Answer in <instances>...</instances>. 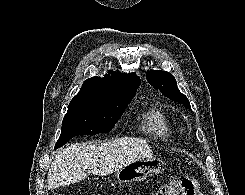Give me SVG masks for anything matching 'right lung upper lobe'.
Listing matches in <instances>:
<instances>
[{
    "label": "right lung upper lobe",
    "instance_id": "right-lung-upper-lobe-1",
    "mask_svg": "<svg viewBox=\"0 0 245 195\" xmlns=\"http://www.w3.org/2000/svg\"><path fill=\"white\" fill-rule=\"evenodd\" d=\"M112 74V75H109ZM103 78L92 77L84 81L75 97H88L113 102L132 100L140 79L135 73L120 74L109 71Z\"/></svg>",
    "mask_w": 245,
    "mask_h": 195
}]
</instances>
